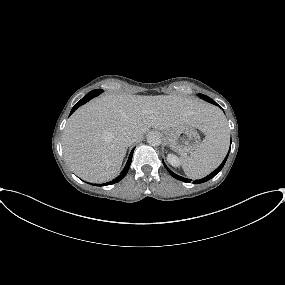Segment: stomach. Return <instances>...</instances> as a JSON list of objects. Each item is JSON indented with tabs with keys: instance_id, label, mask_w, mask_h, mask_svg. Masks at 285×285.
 <instances>
[{
	"instance_id": "obj_1",
	"label": "stomach",
	"mask_w": 285,
	"mask_h": 285,
	"mask_svg": "<svg viewBox=\"0 0 285 285\" xmlns=\"http://www.w3.org/2000/svg\"><path fill=\"white\" fill-rule=\"evenodd\" d=\"M164 135L170 148L183 156L192 154L200 143L198 132L188 125L165 130Z\"/></svg>"
}]
</instances>
